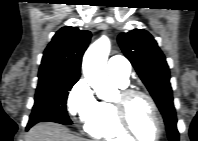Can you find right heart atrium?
I'll return each instance as SVG.
<instances>
[{
    "mask_svg": "<svg viewBox=\"0 0 198 141\" xmlns=\"http://www.w3.org/2000/svg\"><path fill=\"white\" fill-rule=\"evenodd\" d=\"M98 100L85 78L79 79L70 89L66 107L70 117L86 123L95 113Z\"/></svg>",
    "mask_w": 198,
    "mask_h": 141,
    "instance_id": "right-heart-atrium-1",
    "label": "right heart atrium"
}]
</instances>
